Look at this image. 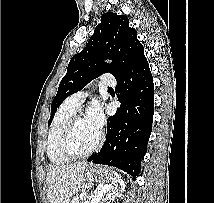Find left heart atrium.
<instances>
[{"label": "left heart atrium", "mask_w": 214, "mask_h": 203, "mask_svg": "<svg viewBox=\"0 0 214 203\" xmlns=\"http://www.w3.org/2000/svg\"><path fill=\"white\" fill-rule=\"evenodd\" d=\"M86 121L96 130L100 131L104 124V114L99 103L94 102L87 110Z\"/></svg>", "instance_id": "39dd6f15"}]
</instances>
